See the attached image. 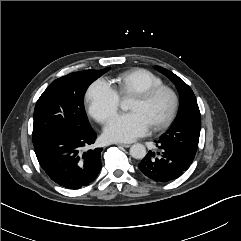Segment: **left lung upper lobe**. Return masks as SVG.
I'll use <instances>...</instances> for the list:
<instances>
[{
	"label": "left lung upper lobe",
	"instance_id": "1",
	"mask_svg": "<svg viewBox=\"0 0 241 241\" xmlns=\"http://www.w3.org/2000/svg\"><path fill=\"white\" fill-rule=\"evenodd\" d=\"M177 87L181 98L179 117L159 141L168 143L193 161L199 142L201 116L195 95L191 88L171 71L157 66Z\"/></svg>",
	"mask_w": 241,
	"mask_h": 241
}]
</instances>
